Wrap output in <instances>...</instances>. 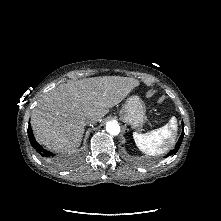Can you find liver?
I'll return each instance as SVG.
<instances>
[{"label":"liver","mask_w":221,"mask_h":221,"mask_svg":"<svg viewBox=\"0 0 221 221\" xmlns=\"http://www.w3.org/2000/svg\"><path fill=\"white\" fill-rule=\"evenodd\" d=\"M138 85L137 79L121 76L60 84L44 94L32 111L31 126L36 139L56 152L75 151L84 134L83 120L100 121Z\"/></svg>","instance_id":"6515ba94"}]
</instances>
